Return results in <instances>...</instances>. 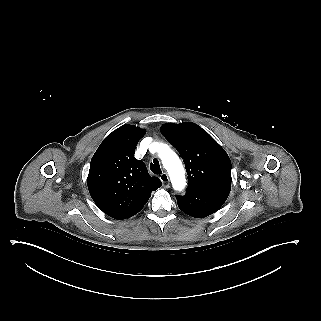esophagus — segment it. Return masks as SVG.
<instances>
[{
  "mask_svg": "<svg viewBox=\"0 0 321 321\" xmlns=\"http://www.w3.org/2000/svg\"><path fill=\"white\" fill-rule=\"evenodd\" d=\"M160 180L162 181L164 187H166L167 184H168V182H169V176H168V174H167V173L161 174Z\"/></svg>",
  "mask_w": 321,
  "mask_h": 321,
  "instance_id": "34e87169",
  "label": "esophagus"
}]
</instances>
